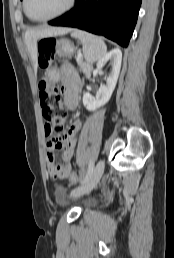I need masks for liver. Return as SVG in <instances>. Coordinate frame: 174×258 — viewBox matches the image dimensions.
Instances as JSON below:
<instances>
[{
    "label": "liver",
    "instance_id": "6515ba94",
    "mask_svg": "<svg viewBox=\"0 0 174 258\" xmlns=\"http://www.w3.org/2000/svg\"><path fill=\"white\" fill-rule=\"evenodd\" d=\"M70 30L68 28H56V27H46L41 29L28 30L25 33V43L30 52L31 58L34 62V67L37 69V40L43 37H51L54 35H62Z\"/></svg>",
    "mask_w": 174,
    "mask_h": 258
}]
</instances>
